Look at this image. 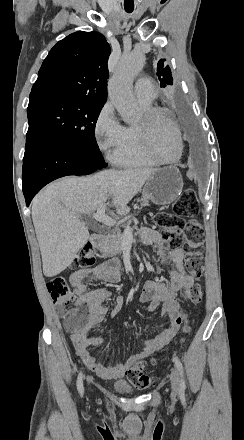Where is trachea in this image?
I'll use <instances>...</instances> for the list:
<instances>
[{"instance_id":"1","label":"trachea","mask_w":244,"mask_h":440,"mask_svg":"<svg viewBox=\"0 0 244 440\" xmlns=\"http://www.w3.org/2000/svg\"><path fill=\"white\" fill-rule=\"evenodd\" d=\"M125 11H126L127 13H131V12H133V9H127V8H125Z\"/></svg>"}]
</instances>
